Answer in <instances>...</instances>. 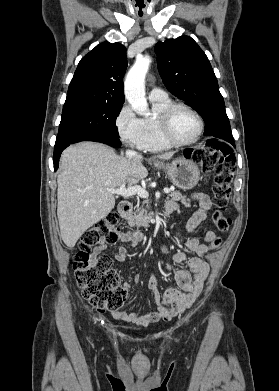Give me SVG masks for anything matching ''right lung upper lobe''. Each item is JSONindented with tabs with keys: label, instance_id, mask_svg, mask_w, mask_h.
<instances>
[{
	"label": "right lung upper lobe",
	"instance_id": "obj_1",
	"mask_svg": "<svg viewBox=\"0 0 279 391\" xmlns=\"http://www.w3.org/2000/svg\"><path fill=\"white\" fill-rule=\"evenodd\" d=\"M126 68V48L122 44H99L80 60L63 110L90 104L123 105Z\"/></svg>",
	"mask_w": 279,
	"mask_h": 391
}]
</instances>
